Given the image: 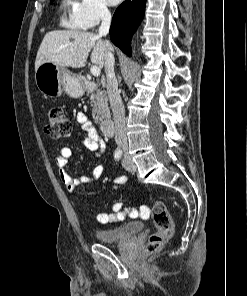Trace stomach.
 I'll return each instance as SVG.
<instances>
[{
  "instance_id": "obj_1",
  "label": "stomach",
  "mask_w": 247,
  "mask_h": 296,
  "mask_svg": "<svg viewBox=\"0 0 247 296\" xmlns=\"http://www.w3.org/2000/svg\"><path fill=\"white\" fill-rule=\"evenodd\" d=\"M35 83L41 93L51 98L59 97L63 91L73 98L84 93L76 76L70 74L66 67L51 62L42 63L35 70Z\"/></svg>"
}]
</instances>
